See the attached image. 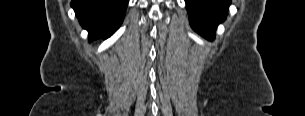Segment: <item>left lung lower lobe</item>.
<instances>
[{"instance_id":"1","label":"left lung lower lobe","mask_w":305,"mask_h":116,"mask_svg":"<svg viewBox=\"0 0 305 116\" xmlns=\"http://www.w3.org/2000/svg\"><path fill=\"white\" fill-rule=\"evenodd\" d=\"M191 27L207 39L214 38L219 23L226 19L231 0H185Z\"/></svg>"}]
</instances>
